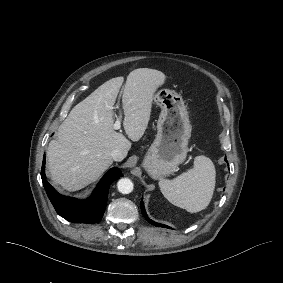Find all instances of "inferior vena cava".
<instances>
[{
  "mask_svg": "<svg viewBox=\"0 0 283 283\" xmlns=\"http://www.w3.org/2000/svg\"><path fill=\"white\" fill-rule=\"evenodd\" d=\"M111 156L114 161H122L125 158V155L118 149L113 150Z\"/></svg>",
  "mask_w": 283,
  "mask_h": 283,
  "instance_id": "1",
  "label": "inferior vena cava"
}]
</instances>
